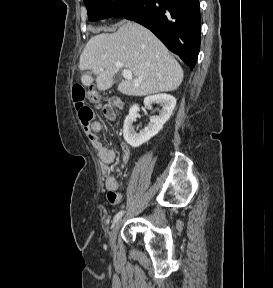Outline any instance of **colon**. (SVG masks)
Segmentation results:
<instances>
[{
  "instance_id": "1",
  "label": "colon",
  "mask_w": 273,
  "mask_h": 288,
  "mask_svg": "<svg viewBox=\"0 0 273 288\" xmlns=\"http://www.w3.org/2000/svg\"><path fill=\"white\" fill-rule=\"evenodd\" d=\"M88 95L85 89L80 85H75L72 88V98L77 109L78 116L84 127H88L93 119V110L86 104ZM91 100L95 105L99 104V98L96 95L91 96Z\"/></svg>"
}]
</instances>
